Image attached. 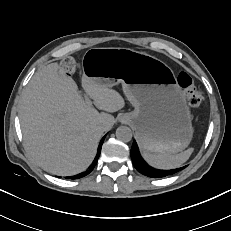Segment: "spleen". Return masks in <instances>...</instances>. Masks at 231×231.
I'll list each match as a JSON object with an SVG mask.
<instances>
[{"instance_id":"spleen-1","label":"spleen","mask_w":231,"mask_h":231,"mask_svg":"<svg viewBox=\"0 0 231 231\" xmlns=\"http://www.w3.org/2000/svg\"><path fill=\"white\" fill-rule=\"evenodd\" d=\"M193 152V148H189L179 154H152L144 152L143 157L149 165L158 169H173L180 167L185 163Z\"/></svg>"}]
</instances>
